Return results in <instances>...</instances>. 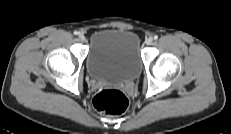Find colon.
<instances>
[{"instance_id": "5ec220e1", "label": "colon", "mask_w": 231, "mask_h": 134, "mask_svg": "<svg viewBox=\"0 0 231 134\" xmlns=\"http://www.w3.org/2000/svg\"><path fill=\"white\" fill-rule=\"evenodd\" d=\"M93 104L101 114L117 116L126 111L129 99L121 90L109 88L97 92L93 98Z\"/></svg>"}]
</instances>
